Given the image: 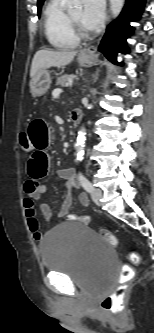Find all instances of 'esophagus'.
<instances>
[{"mask_svg": "<svg viewBox=\"0 0 154 333\" xmlns=\"http://www.w3.org/2000/svg\"><path fill=\"white\" fill-rule=\"evenodd\" d=\"M95 51H96V47L95 46H91V47H89L86 51H84L83 52V54H93V53H95Z\"/></svg>", "mask_w": 154, "mask_h": 333, "instance_id": "esophagus-1", "label": "esophagus"}]
</instances>
